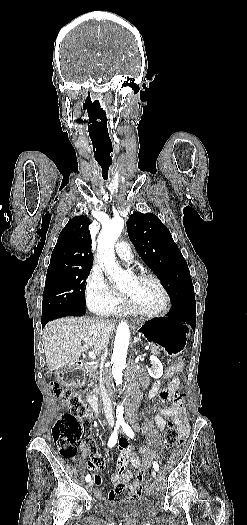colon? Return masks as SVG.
I'll return each instance as SVG.
<instances>
[{
	"mask_svg": "<svg viewBox=\"0 0 247 525\" xmlns=\"http://www.w3.org/2000/svg\"><path fill=\"white\" fill-rule=\"evenodd\" d=\"M184 370L185 365L183 363L171 366L168 370L164 371V378H161V381H165V378L169 379L171 377H176ZM52 391L56 398L62 399L69 406V412L59 418L56 422L53 431V440L60 456L64 458H73L77 455L82 437L89 426V407L82 397L71 389L62 388L58 384L53 383ZM177 442V428L171 421H169L164 433V446L170 449L174 447ZM136 480L141 481L142 483L145 481V472L143 469L137 472ZM142 493L143 487L141 496Z\"/></svg>",
	"mask_w": 247,
	"mask_h": 525,
	"instance_id": "obj_1",
	"label": "colon"
}]
</instances>
